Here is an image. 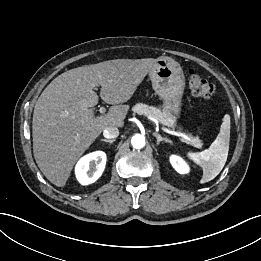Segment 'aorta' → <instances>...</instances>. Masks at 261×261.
<instances>
[{"mask_svg": "<svg viewBox=\"0 0 261 261\" xmlns=\"http://www.w3.org/2000/svg\"><path fill=\"white\" fill-rule=\"evenodd\" d=\"M131 144L136 149H141L145 146V138L140 134H136L131 139Z\"/></svg>", "mask_w": 261, "mask_h": 261, "instance_id": "obj_1", "label": "aorta"}]
</instances>
